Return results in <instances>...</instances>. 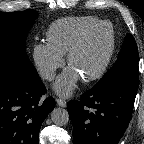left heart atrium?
Wrapping results in <instances>:
<instances>
[{
    "mask_svg": "<svg viewBox=\"0 0 144 144\" xmlns=\"http://www.w3.org/2000/svg\"><path fill=\"white\" fill-rule=\"evenodd\" d=\"M79 80V75L70 66L57 79L55 83V91L61 96L69 95L75 88Z\"/></svg>",
    "mask_w": 144,
    "mask_h": 144,
    "instance_id": "39dd6f15",
    "label": "left heart atrium"
}]
</instances>
